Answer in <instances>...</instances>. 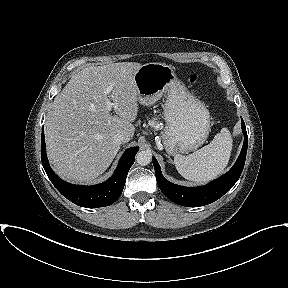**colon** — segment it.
Instances as JSON below:
<instances>
[{"mask_svg": "<svg viewBox=\"0 0 288 288\" xmlns=\"http://www.w3.org/2000/svg\"><path fill=\"white\" fill-rule=\"evenodd\" d=\"M189 81L191 83H197L200 80H199V78L196 75H191L190 78H189Z\"/></svg>", "mask_w": 288, "mask_h": 288, "instance_id": "1", "label": "colon"}]
</instances>
